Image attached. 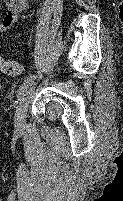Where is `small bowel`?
I'll list each match as a JSON object with an SVG mask.
<instances>
[{
	"label": "small bowel",
	"mask_w": 123,
	"mask_h": 201,
	"mask_svg": "<svg viewBox=\"0 0 123 201\" xmlns=\"http://www.w3.org/2000/svg\"><path fill=\"white\" fill-rule=\"evenodd\" d=\"M6 12L0 21V32L11 28L21 12L28 9V0H5Z\"/></svg>",
	"instance_id": "small-bowel-1"
}]
</instances>
